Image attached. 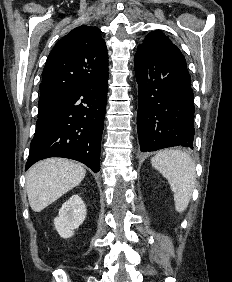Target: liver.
Masks as SVG:
<instances>
[{"mask_svg": "<svg viewBox=\"0 0 232 282\" xmlns=\"http://www.w3.org/2000/svg\"><path fill=\"white\" fill-rule=\"evenodd\" d=\"M85 174V169L71 160L48 158L37 162L26 174L27 195L33 211L40 212L73 189Z\"/></svg>", "mask_w": 232, "mask_h": 282, "instance_id": "1", "label": "liver"}]
</instances>
